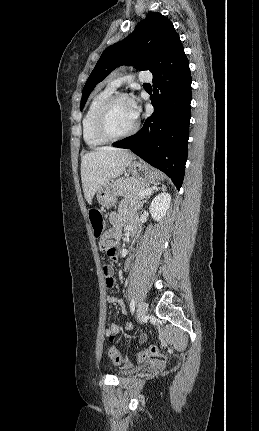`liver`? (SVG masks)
I'll use <instances>...</instances> for the list:
<instances>
[{"label":"liver","instance_id":"liver-1","mask_svg":"<svg viewBox=\"0 0 259 431\" xmlns=\"http://www.w3.org/2000/svg\"><path fill=\"white\" fill-rule=\"evenodd\" d=\"M135 155L128 150L99 147L86 153L81 160V180L86 201L91 204L98 189L122 175Z\"/></svg>","mask_w":259,"mask_h":431}]
</instances>
